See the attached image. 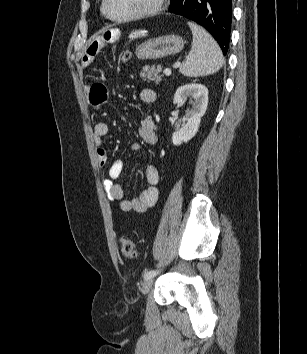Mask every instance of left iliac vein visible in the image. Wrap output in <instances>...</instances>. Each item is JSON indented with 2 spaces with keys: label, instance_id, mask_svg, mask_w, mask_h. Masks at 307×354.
<instances>
[{
  "label": "left iliac vein",
  "instance_id": "left-iliac-vein-1",
  "mask_svg": "<svg viewBox=\"0 0 307 354\" xmlns=\"http://www.w3.org/2000/svg\"><path fill=\"white\" fill-rule=\"evenodd\" d=\"M153 282H154L153 277L146 279L144 281L143 286H142V290H141L143 295H146L150 291V289L152 288Z\"/></svg>",
  "mask_w": 307,
  "mask_h": 354
}]
</instances>
